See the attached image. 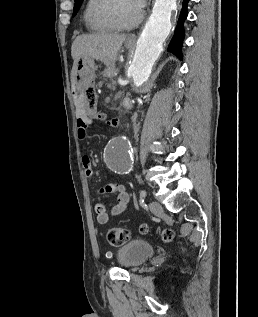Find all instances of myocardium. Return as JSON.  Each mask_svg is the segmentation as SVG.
<instances>
[{
	"label": "myocardium",
	"instance_id": "obj_1",
	"mask_svg": "<svg viewBox=\"0 0 258 317\" xmlns=\"http://www.w3.org/2000/svg\"><path fill=\"white\" fill-rule=\"evenodd\" d=\"M122 3H129L136 9V19L130 27H122L116 19V11ZM101 19L115 31H125L136 28L143 18L142 10L134 0H109L100 9Z\"/></svg>",
	"mask_w": 258,
	"mask_h": 317
}]
</instances>
